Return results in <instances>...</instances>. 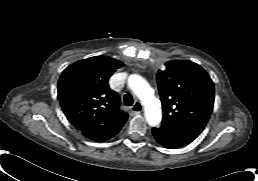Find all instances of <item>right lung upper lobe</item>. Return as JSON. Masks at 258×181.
Segmentation results:
<instances>
[{
    "label": "right lung upper lobe",
    "instance_id": "obj_1",
    "mask_svg": "<svg viewBox=\"0 0 258 181\" xmlns=\"http://www.w3.org/2000/svg\"><path fill=\"white\" fill-rule=\"evenodd\" d=\"M121 61L96 56L68 66L58 82V99L68 120L82 133L126 122L128 115L119 110V97L109 88L110 76Z\"/></svg>",
    "mask_w": 258,
    "mask_h": 181
}]
</instances>
